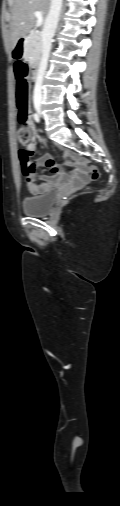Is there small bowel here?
Segmentation results:
<instances>
[{"mask_svg":"<svg viewBox=\"0 0 120 506\" xmlns=\"http://www.w3.org/2000/svg\"><path fill=\"white\" fill-rule=\"evenodd\" d=\"M28 126L32 127L33 122L30 120ZM66 156L69 158L65 162V167H70L73 164L80 165L82 160L72 152H66ZM20 159L23 165L22 171L26 178V186L31 194H40L47 190L53 184L59 183H72L74 185H80L90 181L89 175L83 170L74 171L70 176L63 167L58 165L52 155H44L41 159L33 162L31 159H24L20 153ZM46 167L55 173L54 176H45L42 183L37 184L35 181V174L37 168Z\"/></svg>","mask_w":120,"mask_h":506,"instance_id":"small-bowel-1","label":"small bowel"}]
</instances>
